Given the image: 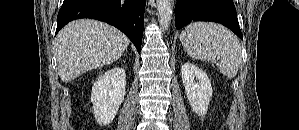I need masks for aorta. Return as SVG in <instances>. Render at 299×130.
Wrapping results in <instances>:
<instances>
[{"label":"aorta","mask_w":299,"mask_h":130,"mask_svg":"<svg viewBox=\"0 0 299 130\" xmlns=\"http://www.w3.org/2000/svg\"><path fill=\"white\" fill-rule=\"evenodd\" d=\"M159 24L163 30L168 29L172 19V0H157Z\"/></svg>","instance_id":"1"}]
</instances>
